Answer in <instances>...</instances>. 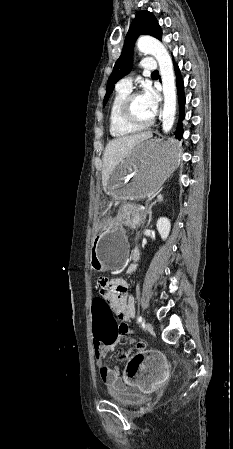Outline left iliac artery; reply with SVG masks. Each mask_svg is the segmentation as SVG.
<instances>
[{"label": "left iliac artery", "instance_id": "44dca946", "mask_svg": "<svg viewBox=\"0 0 233 449\" xmlns=\"http://www.w3.org/2000/svg\"><path fill=\"white\" fill-rule=\"evenodd\" d=\"M138 323H139V324H144V320H143V317H142V316H139V317H138Z\"/></svg>", "mask_w": 233, "mask_h": 449}]
</instances>
